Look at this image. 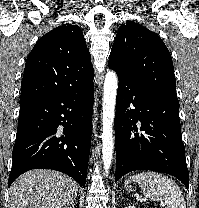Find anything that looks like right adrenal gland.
I'll use <instances>...</instances> for the list:
<instances>
[{"label":"right adrenal gland","instance_id":"1","mask_svg":"<svg viewBox=\"0 0 199 208\" xmlns=\"http://www.w3.org/2000/svg\"><path fill=\"white\" fill-rule=\"evenodd\" d=\"M69 208H75L74 202L71 203V205L69 206Z\"/></svg>","mask_w":199,"mask_h":208}]
</instances>
